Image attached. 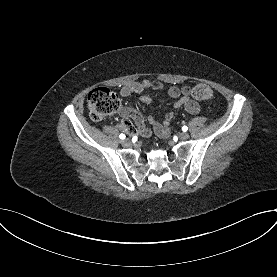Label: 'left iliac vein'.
Returning <instances> with one entry per match:
<instances>
[{"instance_id": "left-iliac-vein-1", "label": "left iliac vein", "mask_w": 277, "mask_h": 277, "mask_svg": "<svg viewBox=\"0 0 277 277\" xmlns=\"http://www.w3.org/2000/svg\"><path fill=\"white\" fill-rule=\"evenodd\" d=\"M179 138L181 140H186V139L189 138V134L187 132H182V133L179 134Z\"/></svg>"}]
</instances>
